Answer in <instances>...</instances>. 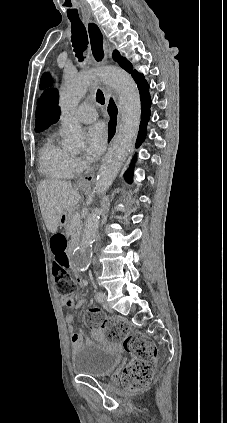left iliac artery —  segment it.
<instances>
[{"label":"left iliac artery","instance_id":"44dca946","mask_svg":"<svg viewBox=\"0 0 227 423\" xmlns=\"http://www.w3.org/2000/svg\"><path fill=\"white\" fill-rule=\"evenodd\" d=\"M95 298H96V300L98 302H102L103 301V296L100 294V292L96 294Z\"/></svg>","mask_w":227,"mask_h":423}]
</instances>
